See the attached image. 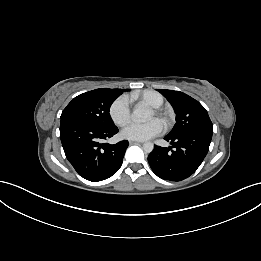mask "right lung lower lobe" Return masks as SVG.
Returning a JSON list of instances; mask_svg holds the SVG:
<instances>
[{"instance_id": "98d812e1", "label": "right lung lower lobe", "mask_w": 261, "mask_h": 261, "mask_svg": "<svg viewBox=\"0 0 261 261\" xmlns=\"http://www.w3.org/2000/svg\"><path fill=\"white\" fill-rule=\"evenodd\" d=\"M118 132L116 126L93 125L61 120L60 138L66 158L83 178L97 182L114 175L122 165L128 141L110 145L104 140Z\"/></svg>"}]
</instances>
